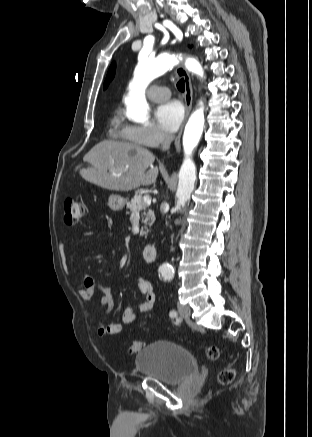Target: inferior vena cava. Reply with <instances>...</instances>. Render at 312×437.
Returning a JSON list of instances; mask_svg holds the SVG:
<instances>
[{"label": "inferior vena cava", "mask_w": 312, "mask_h": 437, "mask_svg": "<svg viewBox=\"0 0 312 437\" xmlns=\"http://www.w3.org/2000/svg\"><path fill=\"white\" fill-rule=\"evenodd\" d=\"M172 140H173V136L171 134H168V133L165 134L164 140L162 142V149L163 150L169 149ZM163 207H164V203L161 204V211H162Z\"/></svg>", "instance_id": "602c4592"}]
</instances>
